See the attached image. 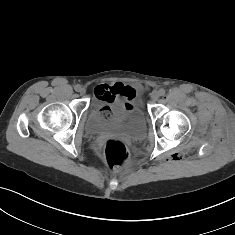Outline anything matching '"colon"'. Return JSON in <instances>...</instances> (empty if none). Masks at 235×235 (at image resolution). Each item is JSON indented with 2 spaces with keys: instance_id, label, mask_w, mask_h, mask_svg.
Returning <instances> with one entry per match:
<instances>
[{
  "instance_id": "colon-1",
  "label": "colon",
  "mask_w": 235,
  "mask_h": 235,
  "mask_svg": "<svg viewBox=\"0 0 235 235\" xmlns=\"http://www.w3.org/2000/svg\"><path fill=\"white\" fill-rule=\"evenodd\" d=\"M136 95L134 96V98ZM129 105V104H128ZM102 114L105 117L110 115L108 107L102 108ZM104 154L107 166L112 171H119L129 160V152L126 145L119 139H108L104 145Z\"/></svg>"
}]
</instances>
